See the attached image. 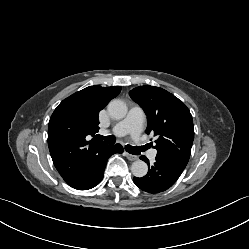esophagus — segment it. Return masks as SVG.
Here are the masks:
<instances>
[{
    "instance_id": "1",
    "label": "esophagus",
    "mask_w": 249,
    "mask_h": 249,
    "mask_svg": "<svg viewBox=\"0 0 249 249\" xmlns=\"http://www.w3.org/2000/svg\"><path fill=\"white\" fill-rule=\"evenodd\" d=\"M125 156L130 160V161H135L138 159V157L136 155H132L128 152H124Z\"/></svg>"
}]
</instances>
